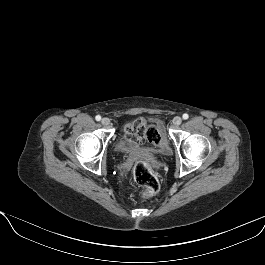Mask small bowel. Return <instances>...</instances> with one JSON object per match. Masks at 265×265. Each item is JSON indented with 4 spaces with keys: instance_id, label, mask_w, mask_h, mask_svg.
<instances>
[{
    "instance_id": "c3829d8e",
    "label": "small bowel",
    "mask_w": 265,
    "mask_h": 265,
    "mask_svg": "<svg viewBox=\"0 0 265 265\" xmlns=\"http://www.w3.org/2000/svg\"><path fill=\"white\" fill-rule=\"evenodd\" d=\"M124 137L127 142H132L135 145H139L143 141V136L137 131L136 122L125 126Z\"/></svg>"
}]
</instances>
